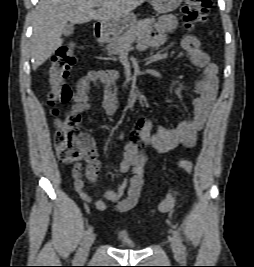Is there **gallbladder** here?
Masks as SVG:
<instances>
[{
  "label": "gallbladder",
  "mask_w": 254,
  "mask_h": 267,
  "mask_svg": "<svg viewBox=\"0 0 254 267\" xmlns=\"http://www.w3.org/2000/svg\"><path fill=\"white\" fill-rule=\"evenodd\" d=\"M74 31V25L69 23V24H66L63 28V35L64 36H70Z\"/></svg>",
  "instance_id": "obj_1"
}]
</instances>
